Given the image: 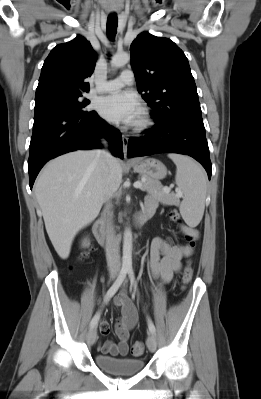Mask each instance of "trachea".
<instances>
[{
    "label": "trachea",
    "instance_id": "trachea-1",
    "mask_svg": "<svg viewBox=\"0 0 261 399\" xmlns=\"http://www.w3.org/2000/svg\"><path fill=\"white\" fill-rule=\"evenodd\" d=\"M118 19L116 15H109L107 19L106 32L110 39H114L117 33Z\"/></svg>",
    "mask_w": 261,
    "mask_h": 399
}]
</instances>
